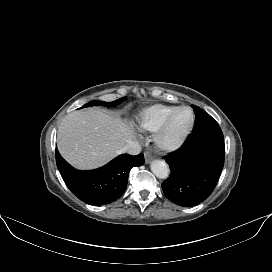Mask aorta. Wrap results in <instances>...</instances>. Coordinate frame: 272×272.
Returning a JSON list of instances; mask_svg holds the SVG:
<instances>
[{
	"mask_svg": "<svg viewBox=\"0 0 272 272\" xmlns=\"http://www.w3.org/2000/svg\"><path fill=\"white\" fill-rule=\"evenodd\" d=\"M150 168L153 174L160 179H166L169 176L170 169L164 161L154 160L151 162Z\"/></svg>",
	"mask_w": 272,
	"mask_h": 272,
	"instance_id": "1",
	"label": "aorta"
}]
</instances>
